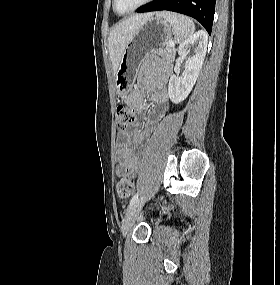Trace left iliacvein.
<instances>
[{
  "label": "left iliac vein",
  "mask_w": 280,
  "mask_h": 285,
  "mask_svg": "<svg viewBox=\"0 0 280 285\" xmlns=\"http://www.w3.org/2000/svg\"><path fill=\"white\" fill-rule=\"evenodd\" d=\"M145 203V199L141 198L137 200L128 210L125 220L121 226L122 235L125 237L130 231L132 225L134 224L137 216L139 215L143 205Z\"/></svg>",
  "instance_id": "1"
}]
</instances>
